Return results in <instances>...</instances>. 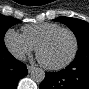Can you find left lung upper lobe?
Instances as JSON below:
<instances>
[{"label": "left lung upper lobe", "instance_id": "obj_1", "mask_svg": "<svg viewBox=\"0 0 89 89\" xmlns=\"http://www.w3.org/2000/svg\"><path fill=\"white\" fill-rule=\"evenodd\" d=\"M54 21L64 23L75 34L78 42V52L89 50V24L83 20L69 17H58Z\"/></svg>", "mask_w": 89, "mask_h": 89}]
</instances>
